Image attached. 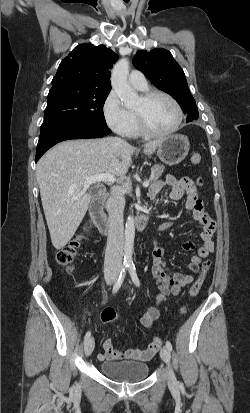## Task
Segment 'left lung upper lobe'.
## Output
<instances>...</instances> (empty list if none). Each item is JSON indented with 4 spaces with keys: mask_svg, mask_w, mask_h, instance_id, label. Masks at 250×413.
<instances>
[{
    "mask_svg": "<svg viewBox=\"0 0 250 413\" xmlns=\"http://www.w3.org/2000/svg\"><path fill=\"white\" fill-rule=\"evenodd\" d=\"M133 65L157 88L173 96L187 114V118L199 117L183 69L169 51L161 48L150 52L140 50L133 58Z\"/></svg>",
    "mask_w": 250,
    "mask_h": 413,
    "instance_id": "left-lung-upper-lobe-1",
    "label": "left lung upper lobe"
}]
</instances>
